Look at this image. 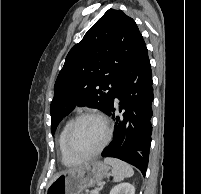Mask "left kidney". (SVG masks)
<instances>
[{
    "label": "left kidney",
    "instance_id": "left-kidney-1",
    "mask_svg": "<svg viewBox=\"0 0 201 194\" xmlns=\"http://www.w3.org/2000/svg\"><path fill=\"white\" fill-rule=\"evenodd\" d=\"M109 194H135V188L132 184L124 182L113 187Z\"/></svg>",
    "mask_w": 201,
    "mask_h": 194
}]
</instances>
